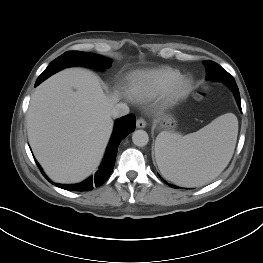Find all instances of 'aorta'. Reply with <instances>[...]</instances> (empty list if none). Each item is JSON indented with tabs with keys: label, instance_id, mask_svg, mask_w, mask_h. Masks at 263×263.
<instances>
[{
	"label": "aorta",
	"instance_id": "aorta-1",
	"mask_svg": "<svg viewBox=\"0 0 263 263\" xmlns=\"http://www.w3.org/2000/svg\"><path fill=\"white\" fill-rule=\"evenodd\" d=\"M132 141L138 147H143L149 142V136L144 130H136L132 134Z\"/></svg>",
	"mask_w": 263,
	"mask_h": 263
}]
</instances>
